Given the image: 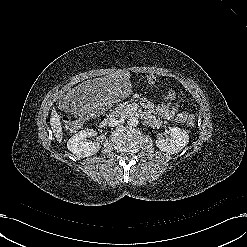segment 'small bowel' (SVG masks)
Wrapping results in <instances>:
<instances>
[{
    "instance_id": "c3829d8e",
    "label": "small bowel",
    "mask_w": 247,
    "mask_h": 247,
    "mask_svg": "<svg viewBox=\"0 0 247 247\" xmlns=\"http://www.w3.org/2000/svg\"><path fill=\"white\" fill-rule=\"evenodd\" d=\"M151 84L155 83V77L153 75L148 78ZM143 106L148 110L146 121L153 127H159L161 125V119H167L176 123H185L187 113L179 112L177 107L173 103V99H167L163 104L155 105L150 101L144 100Z\"/></svg>"
}]
</instances>
